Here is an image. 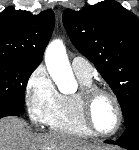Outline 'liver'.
<instances>
[{"mask_svg": "<svg viewBox=\"0 0 139 150\" xmlns=\"http://www.w3.org/2000/svg\"><path fill=\"white\" fill-rule=\"evenodd\" d=\"M100 147L59 133L33 134L24 120H0V150H98Z\"/></svg>", "mask_w": 139, "mask_h": 150, "instance_id": "1", "label": "liver"}]
</instances>
